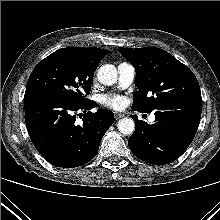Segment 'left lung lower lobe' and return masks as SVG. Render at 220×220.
Listing matches in <instances>:
<instances>
[{
    "instance_id": "obj_1",
    "label": "left lung lower lobe",
    "mask_w": 220,
    "mask_h": 220,
    "mask_svg": "<svg viewBox=\"0 0 220 220\" xmlns=\"http://www.w3.org/2000/svg\"><path fill=\"white\" fill-rule=\"evenodd\" d=\"M201 111V98H191L162 105L155 110L154 124L132 116L136 128L128 139L131 152L153 165L175 161L191 144L199 126Z\"/></svg>"
}]
</instances>
